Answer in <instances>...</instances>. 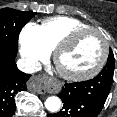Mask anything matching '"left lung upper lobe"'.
<instances>
[{"instance_id":"left-lung-upper-lobe-1","label":"left lung upper lobe","mask_w":117,"mask_h":117,"mask_svg":"<svg viewBox=\"0 0 117 117\" xmlns=\"http://www.w3.org/2000/svg\"><path fill=\"white\" fill-rule=\"evenodd\" d=\"M114 65H115V59H114L113 52H112V50L110 49L108 61H107V64L105 65L104 68H108V71H109V72L111 73V75H112V79H113Z\"/></svg>"}]
</instances>
